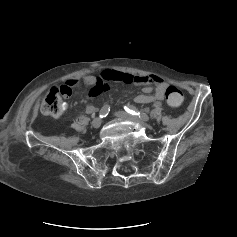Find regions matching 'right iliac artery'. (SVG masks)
Listing matches in <instances>:
<instances>
[{
	"instance_id": "right-iliac-artery-1",
	"label": "right iliac artery",
	"mask_w": 237,
	"mask_h": 237,
	"mask_svg": "<svg viewBox=\"0 0 237 237\" xmlns=\"http://www.w3.org/2000/svg\"><path fill=\"white\" fill-rule=\"evenodd\" d=\"M109 111H110L109 105H104V106L101 108L100 112H99V117H100V118L106 117V116L108 115Z\"/></svg>"
}]
</instances>
